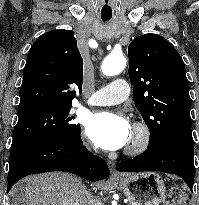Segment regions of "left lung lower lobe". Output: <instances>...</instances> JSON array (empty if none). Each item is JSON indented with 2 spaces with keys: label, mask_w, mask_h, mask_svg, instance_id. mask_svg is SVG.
Wrapping results in <instances>:
<instances>
[{
  "label": "left lung lower lobe",
  "mask_w": 199,
  "mask_h": 205,
  "mask_svg": "<svg viewBox=\"0 0 199 205\" xmlns=\"http://www.w3.org/2000/svg\"><path fill=\"white\" fill-rule=\"evenodd\" d=\"M118 171H162L180 176L192 191L194 141L192 133H175L162 143L151 145L141 155L116 165Z\"/></svg>",
  "instance_id": "1"
}]
</instances>
